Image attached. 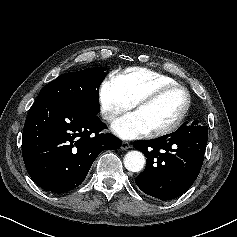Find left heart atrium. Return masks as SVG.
I'll list each match as a JSON object with an SVG mask.
<instances>
[{"label":"left heart atrium","instance_id":"obj_1","mask_svg":"<svg viewBox=\"0 0 237 237\" xmlns=\"http://www.w3.org/2000/svg\"><path fill=\"white\" fill-rule=\"evenodd\" d=\"M112 131L122 139H135L146 135L149 130L136 113H130L119 119L112 126Z\"/></svg>","mask_w":237,"mask_h":237}]
</instances>
